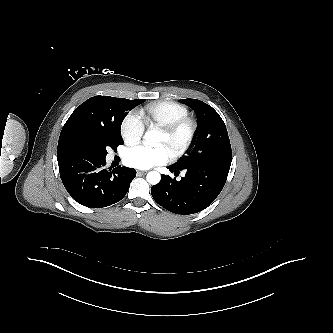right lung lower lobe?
<instances>
[{"label": "right lung lower lobe", "instance_id": "right-lung-lower-lobe-1", "mask_svg": "<svg viewBox=\"0 0 333 333\" xmlns=\"http://www.w3.org/2000/svg\"><path fill=\"white\" fill-rule=\"evenodd\" d=\"M61 180L71 197L87 207L101 208L120 201L136 177L133 168L105 167V158L73 152L58 161Z\"/></svg>", "mask_w": 333, "mask_h": 333}]
</instances>
